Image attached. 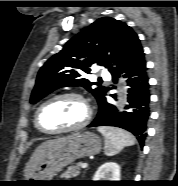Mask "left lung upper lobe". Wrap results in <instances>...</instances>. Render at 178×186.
<instances>
[{"label": "left lung upper lobe", "mask_w": 178, "mask_h": 186, "mask_svg": "<svg viewBox=\"0 0 178 186\" xmlns=\"http://www.w3.org/2000/svg\"><path fill=\"white\" fill-rule=\"evenodd\" d=\"M143 53L137 34L124 22L103 17L70 39L64 48L53 55L38 72L30 102L35 104L52 91L66 86H82L100 103L107 89L85 78L93 65L119 73ZM115 62L117 67H112Z\"/></svg>", "instance_id": "5c2ea615"}]
</instances>
